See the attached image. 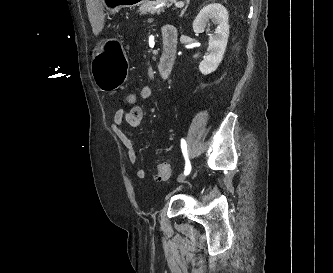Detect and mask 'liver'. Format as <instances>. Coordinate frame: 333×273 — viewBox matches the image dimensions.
<instances>
[{"label":"liver","instance_id":"1","mask_svg":"<svg viewBox=\"0 0 333 273\" xmlns=\"http://www.w3.org/2000/svg\"><path fill=\"white\" fill-rule=\"evenodd\" d=\"M86 6L93 33L98 35L104 27V0H86Z\"/></svg>","mask_w":333,"mask_h":273}]
</instances>
